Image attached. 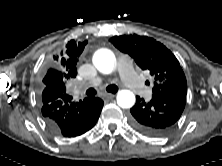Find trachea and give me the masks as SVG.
<instances>
[{
    "instance_id": "3493384b",
    "label": "trachea",
    "mask_w": 222,
    "mask_h": 166,
    "mask_svg": "<svg viewBox=\"0 0 222 166\" xmlns=\"http://www.w3.org/2000/svg\"><path fill=\"white\" fill-rule=\"evenodd\" d=\"M106 90L107 92H110V93H116L118 91V87L116 85H109L107 86ZM96 93L97 91L93 88H90L86 91L87 96H90V97L96 95Z\"/></svg>"
}]
</instances>
